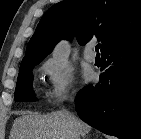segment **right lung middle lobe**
I'll return each mask as SVG.
<instances>
[{"label":"right lung middle lobe","instance_id":"dd1d6c3e","mask_svg":"<svg viewBox=\"0 0 141 139\" xmlns=\"http://www.w3.org/2000/svg\"><path fill=\"white\" fill-rule=\"evenodd\" d=\"M36 65L20 68L15 90V101H36L32 91L33 75L32 69Z\"/></svg>","mask_w":141,"mask_h":139}]
</instances>
